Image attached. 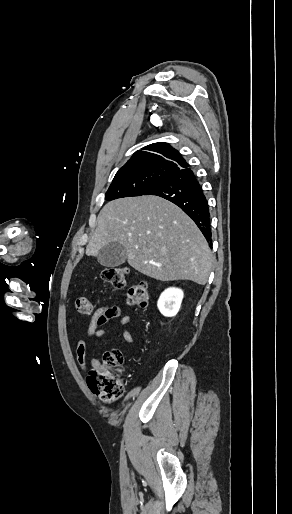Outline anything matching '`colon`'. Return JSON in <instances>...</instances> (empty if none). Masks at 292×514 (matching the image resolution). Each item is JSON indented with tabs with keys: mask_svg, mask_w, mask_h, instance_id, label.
<instances>
[{
	"mask_svg": "<svg viewBox=\"0 0 292 514\" xmlns=\"http://www.w3.org/2000/svg\"><path fill=\"white\" fill-rule=\"evenodd\" d=\"M128 269L126 267H110L101 271V279L110 287L121 290L126 286ZM131 305L144 308L149 304V288L146 282L134 283L127 294ZM77 311L81 315L92 312V304L86 295L78 296ZM124 355L120 350L106 351L100 364L94 366L87 375L89 389L107 405L117 403L124 394V385L117 376Z\"/></svg>",
	"mask_w": 292,
	"mask_h": 514,
	"instance_id": "5ec220e1",
	"label": "colon"
}]
</instances>
